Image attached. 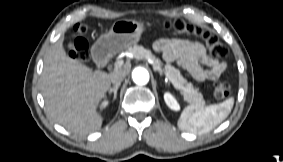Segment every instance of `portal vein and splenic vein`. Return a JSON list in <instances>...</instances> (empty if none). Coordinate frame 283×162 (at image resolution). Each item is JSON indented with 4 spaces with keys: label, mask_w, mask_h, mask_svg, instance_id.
Wrapping results in <instances>:
<instances>
[{
    "label": "portal vein and splenic vein",
    "mask_w": 283,
    "mask_h": 162,
    "mask_svg": "<svg viewBox=\"0 0 283 162\" xmlns=\"http://www.w3.org/2000/svg\"><path fill=\"white\" fill-rule=\"evenodd\" d=\"M124 65V62L123 61H117L115 62L114 64V67L115 68H120ZM167 76V75H166ZM168 77V76H167ZM169 81L174 85L175 88L177 89H182V87L180 85H178L172 78L168 77Z\"/></svg>",
    "instance_id": "obj_1"
}]
</instances>
